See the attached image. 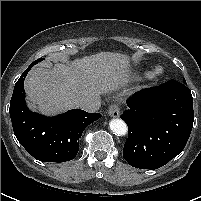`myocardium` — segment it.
Here are the masks:
<instances>
[{
	"label": "myocardium",
	"instance_id": "1",
	"mask_svg": "<svg viewBox=\"0 0 201 201\" xmlns=\"http://www.w3.org/2000/svg\"><path fill=\"white\" fill-rule=\"evenodd\" d=\"M163 73H164L163 67L157 66L148 74V78L150 80H157L163 75Z\"/></svg>",
	"mask_w": 201,
	"mask_h": 201
}]
</instances>
